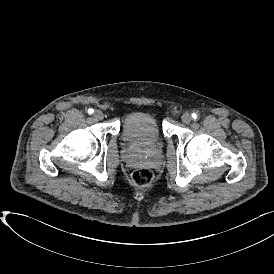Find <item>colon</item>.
Returning a JSON list of instances; mask_svg holds the SVG:
<instances>
[{
  "mask_svg": "<svg viewBox=\"0 0 274 274\" xmlns=\"http://www.w3.org/2000/svg\"><path fill=\"white\" fill-rule=\"evenodd\" d=\"M154 180L153 172L149 168L136 169L131 175L132 183L138 188L148 187Z\"/></svg>",
  "mask_w": 274,
  "mask_h": 274,
  "instance_id": "1",
  "label": "colon"
}]
</instances>
